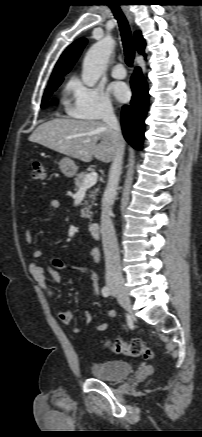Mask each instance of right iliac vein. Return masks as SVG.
Returning a JSON list of instances; mask_svg holds the SVG:
<instances>
[{
	"label": "right iliac vein",
	"mask_w": 202,
	"mask_h": 437,
	"mask_svg": "<svg viewBox=\"0 0 202 437\" xmlns=\"http://www.w3.org/2000/svg\"><path fill=\"white\" fill-rule=\"evenodd\" d=\"M109 287L112 290L113 294L118 298V301L120 302V304L123 307L130 309L131 308V301H130L128 293L126 292L124 287L121 285L113 284V283H110Z\"/></svg>",
	"instance_id": "63e3f726"
}]
</instances>
